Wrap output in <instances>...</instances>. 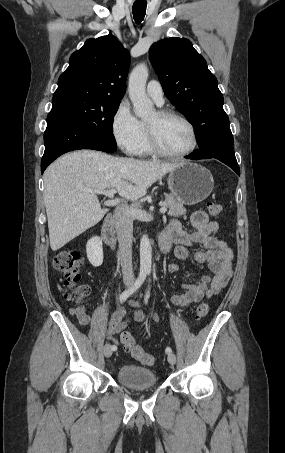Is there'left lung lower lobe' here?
Masks as SVG:
<instances>
[{
	"mask_svg": "<svg viewBox=\"0 0 285 453\" xmlns=\"http://www.w3.org/2000/svg\"><path fill=\"white\" fill-rule=\"evenodd\" d=\"M233 143L229 141L214 142L201 147L185 158L193 160L216 158L232 168L237 175H240V168L234 154Z\"/></svg>",
	"mask_w": 285,
	"mask_h": 453,
	"instance_id": "1",
	"label": "left lung lower lobe"
}]
</instances>
